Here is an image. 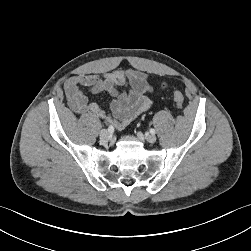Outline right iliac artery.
I'll return each instance as SVG.
<instances>
[{
	"label": "right iliac artery",
	"instance_id": "82829eb1",
	"mask_svg": "<svg viewBox=\"0 0 251 251\" xmlns=\"http://www.w3.org/2000/svg\"><path fill=\"white\" fill-rule=\"evenodd\" d=\"M108 131H109L110 133H113V132H114V127H113L112 125H110V126L108 127Z\"/></svg>",
	"mask_w": 251,
	"mask_h": 251
}]
</instances>
